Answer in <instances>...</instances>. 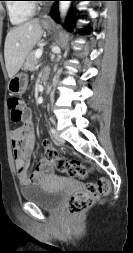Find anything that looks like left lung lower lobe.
<instances>
[{
	"mask_svg": "<svg viewBox=\"0 0 133 253\" xmlns=\"http://www.w3.org/2000/svg\"><path fill=\"white\" fill-rule=\"evenodd\" d=\"M53 1H56L55 4L52 6V9L50 11V15L51 17L56 21L58 22L59 21V13H58V6H57V1H60V0H53ZM70 1H85V0H70ZM75 15V12L74 11H71L69 13V16H68V19H67V24L65 26L66 29H70V22L71 20L73 19ZM82 34H89L90 33V30L89 29H84V30H81L80 31Z\"/></svg>",
	"mask_w": 133,
	"mask_h": 253,
	"instance_id": "1",
	"label": "left lung lower lobe"
}]
</instances>
